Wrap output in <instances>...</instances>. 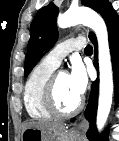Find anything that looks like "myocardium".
<instances>
[{"label":"myocardium","mask_w":119,"mask_h":141,"mask_svg":"<svg viewBox=\"0 0 119 141\" xmlns=\"http://www.w3.org/2000/svg\"><path fill=\"white\" fill-rule=\"evenodd\" d=\"M60 72L56 71L49 77L43 91V104L45 109L51 114V116L66 118L75 115L80 111L83 105V100L80 98L76 106L70 110H62L56 101V82Z\"/></svg>","instance_id":"f54148a6"}]
</instances>
